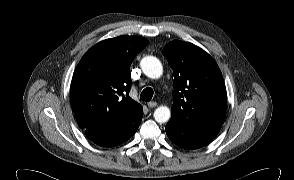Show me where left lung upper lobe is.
Wrapping results in <instances>:
<instances>
[{"mask_svg":"<svg viewBox=\"0 0 294 180\" xmlns=\"http://www.w3.org/2000/svg\"><path fill=\"white\" fill-rule=\"evenodd\" d=\"M162 53L174 71L171 118L192 127L222 126L227 96L214 59L200 47L178 40L166 44Z\"/></svg>","mask_w":294,"mask_h":180,"instance_id":"5c2ea615","label":"left lung upper lobe"}]
</instances>
